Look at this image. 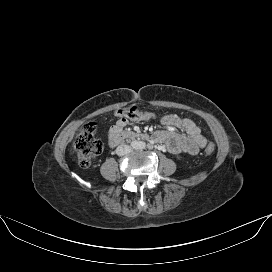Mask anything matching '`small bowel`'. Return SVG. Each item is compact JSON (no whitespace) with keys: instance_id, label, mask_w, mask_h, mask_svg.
Segmentation results:
<instances>
[{"instance_id":"small-bowel-1","label":"small bowel","mask_w":272,"mask_h":272,"mask_svg":"<svg viewBox=\"0 0 272 272\" xmlns=\"http://www.w3.org/2000/svg\"><path fill=\"white\" fill-rule=\"evenodd\" d=\"M161 123L168 128H180L185 132V134H180L172 129H167L154 133L153 139L163 143L171 153L195 155L207 144V139L202 135L199 127L189 118H181L170 114L163 116ZM127 124L128 120L126 118L118 119L111 128L110 135L118 130H122Z\"/></svg>"}]
</instances>
